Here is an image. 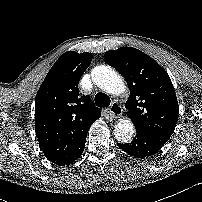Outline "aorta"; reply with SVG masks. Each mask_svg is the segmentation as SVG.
I'll list each match as a JSON object with an SVG mask.
<instances>
[{
  "instance_id": "1",
  "label": "aorta",
  "mask_w": 202,
  "mask_h": 202,
  "mask_svg": "<svg viewBox=\"0 0 202 202\" xmlns=\"http://www.w3.org/2000/svg\"><path fill=\"white\" fill-rule=\"evenodd\" d=\"M92 77L94 82L103 91L119 96L127 92V87L122 77L109 66H97L92 70ZM135 133L133 122L127 119H120L115 125L114 135L118 141L127 142Z\"/></svg>"
}]
</instances>
